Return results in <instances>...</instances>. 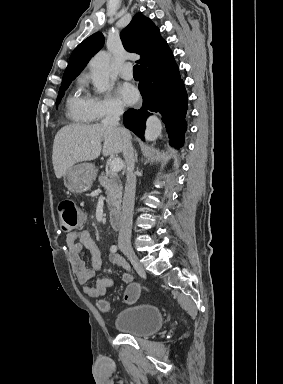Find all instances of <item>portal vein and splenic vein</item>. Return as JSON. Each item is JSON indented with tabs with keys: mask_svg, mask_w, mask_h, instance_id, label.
Instances as JSON below:
<instances>
[{
	"mask_svg": "<svg viewBox=\"0 0 283 384\" xmlns=\"http://www.w3.org/2000/svg\"><path fill=\"white\" fill-rule=\"evenodd\" d=\"M123 168V162L120 160V158H114L110 164V170L111 174H116V172H121Z\"/></svg>",
	"mask_w": 283,
	"mask_h": 384,
	"instance_id": "portal-vein-and-splenic-vein-1",
	"label": "portal vein and splenic vein"
}]
</instances>
